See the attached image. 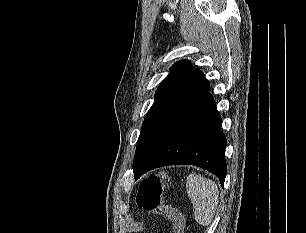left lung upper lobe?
Wrapping results in <instances>:
<instances>
[{
  "label": "left lung upper lobe",
  "mask_w": 306,
  "mask_h": 233,
  "mask_svg": "<svg viewBox=\"0 0 306 233\" xmlns=\"http://www.w3.org/2000/svg\"><path fill=\"white\" fill-rule=\"evenodd\" d=\"M202 71L188 60L176 62L160 84L146 114L133 162L134 175L163 136L209 91Z\"/></svg>",
  "instance_id": "obj_1"
}]
</instances>
